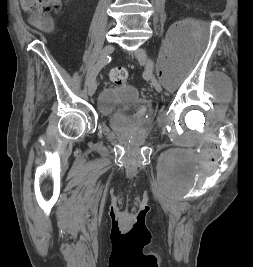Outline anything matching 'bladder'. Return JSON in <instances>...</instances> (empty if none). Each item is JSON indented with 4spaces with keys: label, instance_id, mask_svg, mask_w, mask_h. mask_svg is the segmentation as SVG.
<instances>
[{
    "label": "bladder",
    "instance_id": "31cf9c89",
    "mask_svg": "<svg viewBox=\"0 0 253 267\" xmlns=\"http://www.w3.org/2000/svg\"><path fill=\"white\" fill-rule=\"evenodd\" d=\"M138 98V91L131 85H117L106 87L98 98L101 109H110L120 104L131 103Z\"/></svg>",
    "mask_w": 253,
    "mask_h": 267
}]
</instances>
